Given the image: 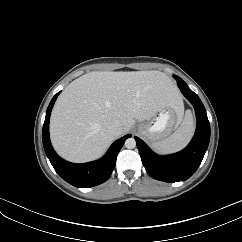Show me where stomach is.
<instances>
[{
    "label": "stomach",
    "mask_w": 242,
    "mask_h": 242,
    "mask_svg": "<svg viewBox=\"0 0 242 242\" xmlns=\"http://www.w3.org/2000/svg\"><path fill=\"white\" fill-rule=\"evenodd\" d=\"M182 112L177 113L171 108H163L157 116L139 125L138 131L144 135L149 142L155 143L167 137L177 128L182 119Z\"/></svg>",
    "instance_id": "stomach-1"
}]
</instances>
